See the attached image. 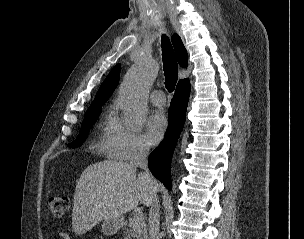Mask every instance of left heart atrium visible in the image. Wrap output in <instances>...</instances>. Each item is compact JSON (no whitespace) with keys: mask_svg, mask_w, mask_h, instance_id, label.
<instances>
[{"mask_svg":"<svg viewBox=\"0 0 304 239\" xmlns=\"http://www.w3.org/2000/svg\"><path fill=\"white\" fill-rule=\"evenodd\" d=\"M168 126V119L163 111L154 112L148 120V142L157 144L164 136Z\"/></svg>","mask_w":304,"mask_h":239,"instance_id":"obj_1","label":"left heart atrium"}]
</instances>
